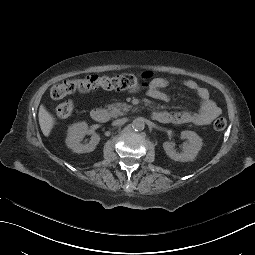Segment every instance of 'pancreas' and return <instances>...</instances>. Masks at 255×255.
<instances>
[{"instance_id": "cf45deb5", "label": "pancreas", "mask_w": 255, "mask_h": 255, "mask_svg": "<svg viewBox=\"0 0 255 255\" xmlns=\"http://www.w3.org/2000/svg\"><path fill=\"white\" fill-rule=\"evenodd\" d=\"M130 106L126 104H122L121 102H117L115 105L106 106V111L112 116H122L126 111H129Z\"/></svg>"}]
</instances>
